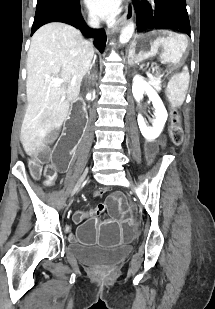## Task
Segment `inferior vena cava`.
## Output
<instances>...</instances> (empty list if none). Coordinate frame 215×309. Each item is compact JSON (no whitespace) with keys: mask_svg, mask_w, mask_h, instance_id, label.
<instances>
[{"mask_svg":"<svg viewBox=\"0 0 215 309\" xmlns=\"http://www.w3.org/2000/svg\"><path fill=\"white\" fill-rule=\"evenodd\" d=\"M89 26H92V28H99L100 22L99 18H96V16H92L88 22Z\"/></svg>","mask_w":215,"mask_h":309,"instance_id":"1","label":"inferior vena cava"}]
</instances>
